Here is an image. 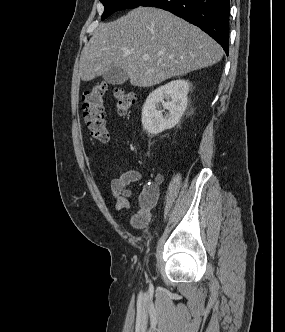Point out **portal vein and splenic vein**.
<instances>
[{
	"mask_svg": "<svg viewBox=\"0 0 285 332\" xmlns=\"http://www.w3.org/2000/svg\"><path fill=\"white\" fill-rule=\"evenodd\" d=\"M148 59H149L148 56H144V57H143V60H148Z\"/></svg>",
	"mask_w": 285,
	"mask_h": 332,
	"instance_id": "18ae733b",
	"label": "portal vein and splenic vein"
}]
</instances>
